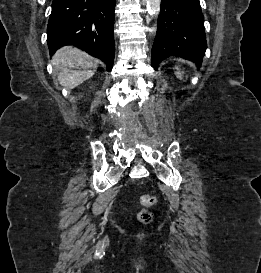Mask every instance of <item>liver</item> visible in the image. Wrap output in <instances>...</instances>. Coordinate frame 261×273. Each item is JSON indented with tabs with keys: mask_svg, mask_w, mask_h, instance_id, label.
Returning <instances> with one entry per match:
<instances>
[{
	"mask_svg": "<svg viewBox=\"0 0 261 273\" xmlns=\"http://www.w3.org/2000/svg\"><path fill=\"white\" fill-rule=\"evenodd\" d=\"M52 64L58 69V80L67 89H74L91 78L98 67V61L75 47H63L52 57Z\"/></svg>",
	"mask_w": 261,
	"mask_h": 273,
	"instance_id": "1",
	"label": "liver"
}]
</instances>
